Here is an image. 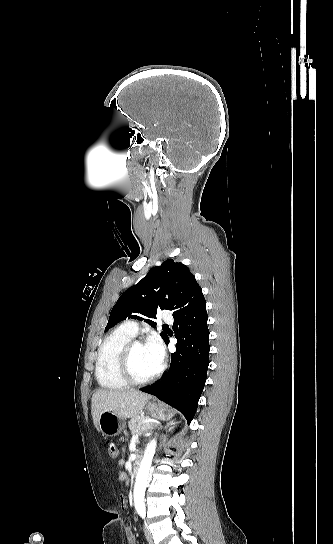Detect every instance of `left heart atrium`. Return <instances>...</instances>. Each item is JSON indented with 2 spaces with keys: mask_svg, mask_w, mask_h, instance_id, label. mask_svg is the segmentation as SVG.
Returning <instances> with one entry per match:
<instances>
[{
  "mask_svg": "<svg viewBox=\"0 0 333 544\" xmlns=\"http://www.w3.org/2000/svg\"><path fill=\"white\" fill-rule=\"evenodd\" d=\"M147 348L153 358L155 365L160 368L164 359V348L159 340H153L148 345Z\"/></svg>",
  "mask_w": 333,
  "mask_h": 544,
  "instance_id": "1",
  "label": "left heart atrium"
}]
</instances>
